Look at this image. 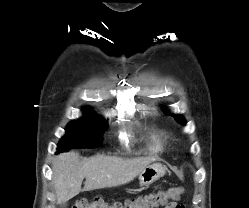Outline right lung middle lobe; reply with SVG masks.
<instances>
[{
    "label": "right lung middle lobe",
    "mask_w": 249,
    "mask_h": 208,
    "mask_svg": "<svg viewBox=\"0 0 249 208\" xmlns=\"http://www.w3.org/2000/svg\"><path fill=\"white\" fill-rule=\"evenodd\" d=\"M106 121L88 112L84 118L73 120L60 140L58 153L70 148H93L101 144Z\"/></svg>",
    "instance_id": "right-lung-middle-lobe-1"
}]
</instances>
